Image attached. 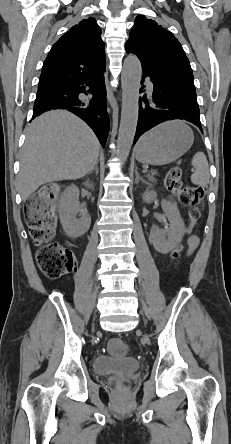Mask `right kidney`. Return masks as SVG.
I'll return each mask as SVG.
<instances>
[{
  "label": "right kidney",
  "instance_id": "1",
  "mask_svg": "<svg viewBox=\"0 0 231 444\" xmlns=\"http://www.w3.org/2000/svg\"><path fill=\"white\" fill-rule=\"evenodd\" d=\"M84 184L88 188L93 186L88 181ZM78 213H80V218H77ZM59 217L63 230L71 238L80 237L88 231L91 218L80 206L79 189L75 185L69 186L62 194Z\"/></svg>",
  "mask_w": 231,
  "mask_h": 444
}]
</instances>
